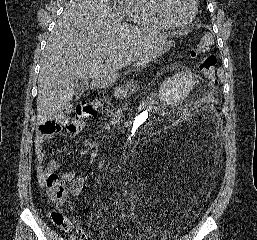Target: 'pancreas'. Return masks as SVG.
I'll use <instances>...</instances> for the list:
<instances>
[{
	"label": "pancreas",
	"mask_w": 257,
	"mask_h": 240,
	"mask_svg": "<svg viewBox=\"0 0 257 240\" xmlns=\"http://www.w3.org/2000/svg\"><path fill=\"white\" fill-rule=\"evenodd\" d=\"M134 87L135 86L133 84H129L126 87L115 88L114 95L116 98H120V99L122 97H127Z\"/></svg>",
	"instance_id": "obj_1"
}]
</instances>
